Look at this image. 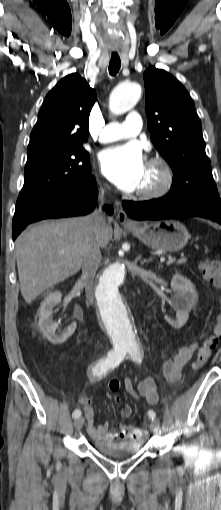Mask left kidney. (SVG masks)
I'll use <instances>...</instances> for the list:
<instances>
[{"label":"left kidney","instance_id":"5707ae66","mask_svg":"<svg viewBox=\"0 0 221 510\" xmlns=\"http://www.w3.org/2000/svg\"><path fill=\"white\" fill-rule=\"evenodd\" d=\"M171 288L174 291V295L169 303L176 311L177 319H171L167 315L164 318L172 327L180 329L187 322L189 312L198 300V294L193 283L181 274L173 276Z\"/></svg>","mask_w":221,"mask_h":510}]
</instances>
